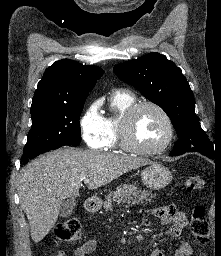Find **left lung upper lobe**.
<instances>
[{
  "label": "left lung upper lobe",
  "mask_w": 221,
  "mask_h": 256,
  "mask_svg": "<svg viewBox=\"0 0 221 256\" xmlns=\"http://www.w3.org/2000/svg\"><path fill=\"white\" fill-rule=\"evenodd\" d=\"M124 82L136 87L148 100L159 105L170 117L178 135L174 150L193 147L214 151L212 142L195 115L194 96L178 68L165 55L149 53L113 68Z\"/></svg>",
  "instance_id": "5c2ea615"
}]
</instances>
